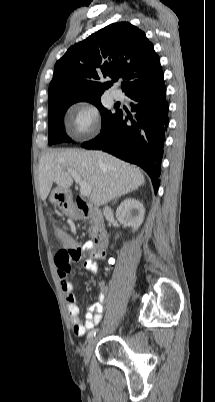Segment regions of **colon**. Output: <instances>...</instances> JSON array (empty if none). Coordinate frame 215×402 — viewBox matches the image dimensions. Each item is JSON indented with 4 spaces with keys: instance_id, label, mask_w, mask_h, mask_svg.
<instances>
[{
    "instance_id": "colon-1",
    "label": "colon",
    "mask_w": 215,
    "mask_h": 402,
    "mask_svg": "<svg viewBox=\"0 0 215 402\" xmlns=\"http://www.w3.org/2000/svg\"><path fill=\"white\" fill-rule=\"evenodd\" d=\"M57 235L62 248L57 254V259L62 263L77 259L78 252L75 250L77 247L75 235H63L60 232H57ZM66 270L71 271V267H66Z\"/></svg>"
}]
</instances>
